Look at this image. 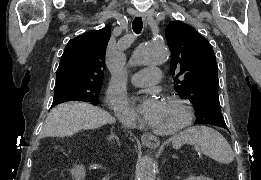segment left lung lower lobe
<instances>
[{"label":"left lung lower lobe","instance_id":"0a47b994","mask_svg":"<svg viewBox=\"0 0 261 180\" xmlns=\"http://www.w3.org/2000/svg\"><path fill=\"white\" fill-rule=\"evenodd\" d=\"M222 127L228 130V128H227V126H226V125H225V126H222Z\"/></svg>","mask_w":261,"mask_h":180}]
</instances>
